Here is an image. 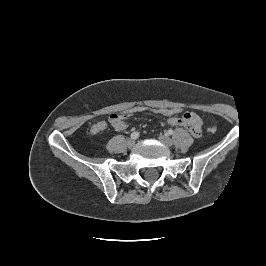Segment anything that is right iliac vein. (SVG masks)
I'll return each mask as SVG.
<instances>
[{
  "mask_svg": "<svg viewBox=\"0 0 266 266\" xmlns=\"http://www.w3.org/2000/svg\"><path fill=\"white\" fill-rule=\"evenodd\" d=\"M134 145H135V140H134L133 138H130V139H128V140L126 141V146H127L128 148H132V147H134Z\"/></svg>",
  "mask_w": 266,
  "mask_h": 266,
  "instance_id": "63e3f726",
  "label": "right iliac vein"
}]
</instances>
